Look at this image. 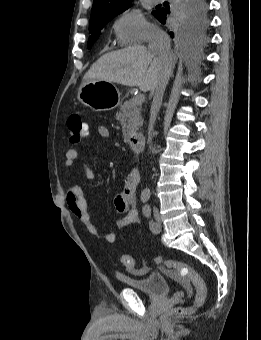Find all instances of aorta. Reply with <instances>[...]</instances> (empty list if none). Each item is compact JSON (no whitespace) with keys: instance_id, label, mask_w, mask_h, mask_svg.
<instances>
[{"instance_id":"obj_1","label":"aorta","mask_w":261,"mask_h":340,"mask_svg":"<svg viewBox=\"0 0 261 340\" xmlns=\"http://www.w3.org/2000/svg\"><path fill=\"white\" fill-rule=\"evenodd\" d=\"M144 193H147V192H149V189H144V191H143Z\"/></svg>"}]
</instances>
